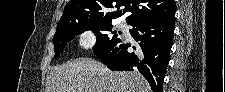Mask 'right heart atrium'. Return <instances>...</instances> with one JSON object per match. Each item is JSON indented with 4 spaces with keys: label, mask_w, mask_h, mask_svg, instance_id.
Listing matches in <instances>:
<instances>
[{
    "label": "right heart atrium",
    "mask_w": 225,
    "mask_h": 92,
    "mask_svg": "<svg viewBox=\"0 0 225 92\" xmlns=\"http://www.w3.org/2000/svg\"><path fill=\"white\" fill-rule=\"evenodd\" d=\"M97 33L93 29H86L82 31L78 36L79 46L83 49H89L93 47L97 41Z\"/></svg>",
    "instance_id": "right-heart-atrium-1"
}]
</instances>
